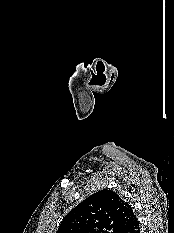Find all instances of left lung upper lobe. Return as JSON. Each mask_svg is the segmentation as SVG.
Listing matches in <instances>:
<instances>
[{
    "label": "left lung upper lobe",
    "instance_id": "left-lung-upper-lobe-1",
    "mask_svg": "<svg viewBox=\"0 0 174 233\" xmlns=\"http://www.w3.org/2000/svg\"><path fill=\"white\" fill-rule=\"evenodd\" d=\"M135 217L130 204L115 192L103 189L72 209L57 233H120Z\"/></svg>",
    "mask_w": 174,
    "mask_h": 233
}]
</instances>
